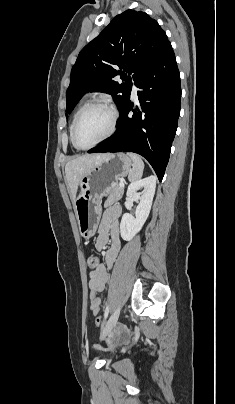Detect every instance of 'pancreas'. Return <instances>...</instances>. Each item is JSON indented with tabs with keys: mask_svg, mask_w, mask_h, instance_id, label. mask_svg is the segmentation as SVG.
Segmentation results:
<instances>
[{
	"mask_svg": "<svg viewBox=\"0 0 235 404\" xmlns=\"http://www.w3.org/2000/svg\"><path fill=\"white\" fill-rule=\"evenodd\" d=\"M123 193H124V188L120 187V184L118 183V181L114 182L111 185V187L107 193L108 198H107V201L105 202V204L109 205L111 203L118 201L119 199H121Z\"/></svg>",
	"mask_w": 235,
	"mask_h": 404,
	"instance_id": "cf45deb5",
	"label": "pancreas"
}]
</instances>
